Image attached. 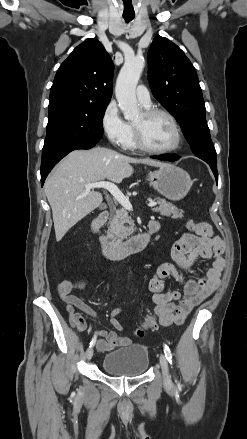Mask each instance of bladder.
<instances>
[{"label":"bladder","mask_w":247,"mask_h":439,"mask_svg":"<svg viewBox=\"0 0 247 439\" xmlns=\"http://www.w3.org/2000/svg\"><path fill=\"white\" fill-rule=\"evenodd\" d=\"M149 366V352L146 346L131 344L109 352L102 360L103 370L117 377H136L144 374Z\"/></svg>","instance_id":"1"}]
</instances>
